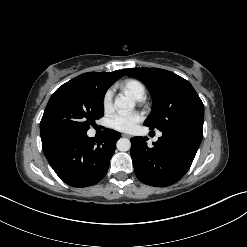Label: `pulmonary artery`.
I'll return each mask as SVG.
<instances>
[{
	"label": "pulmonary artery",
	"mask_w": 247,
	"mask_h": 247,
	"mask_svg": "<svg viewBox=\"0 0 247 247\" xmlns=\"http://www.w3.org/2000/svg\"><path fill=\"white\" fill-rule=\"evenodd\" d=\"M144 97L140 98L139 100H142ZM160 136V135H159Z\"/></svg>",
	"instance_id": "e3ab8cb5"
}]
</instances>
